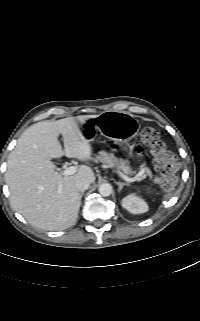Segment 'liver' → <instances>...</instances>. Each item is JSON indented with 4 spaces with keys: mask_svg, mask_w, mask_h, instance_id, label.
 <instances>
[{
    "mask_svg": "<svg viewBox=\"0 0 200 321\" xmlns=\"http://www.w3.org/2000/svg\"><path fill=\"white\" fill-rule=\"evenodd\" d=\"M91 116L41 121L25 130L9 154L6 182L12 207L29 224L45 230H63L72 226L80 208L76 181L95 182L93 170L82 165L71 176L58 174L51 161L66 155L81 161L92 158L90 141L83 136L79 123ZM63 136L64 151L58 141Z\"/></svg>",
    "mask_w": 200,
    "mask_h": 321,
    "instance_id": "obj_1",
    "label": "liver"
}]
</instances>
